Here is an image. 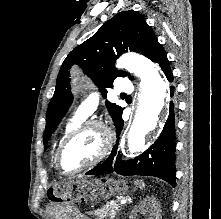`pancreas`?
Listing matches in <instances>:
<instances>
[{
    "label": "pancreas",
    "mask_w": 221,
    "mask_h": 219,
    "mask_svg": "<svg viewBox=\"0 0 221 219\" xmlns=\"http://www.w3.org/2000/svg\"><path fill=\"white\" fill-rule=\"evenodd\" d=\"M119 211L115 201H111L99 210L91 211L89 214L97 217V219H114Z\"/></svg>",
    "instance_id": "obj_1"
}]
</instances>
